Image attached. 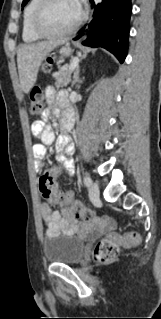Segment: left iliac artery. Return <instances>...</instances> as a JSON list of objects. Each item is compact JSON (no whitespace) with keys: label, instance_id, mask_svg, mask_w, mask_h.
Instances as JSON below:
<instances>
[{"label":"left iliac artery","instance_id":"1","mask_svg":"<svg viewBox=\"0 0 161 319\" xmlns=\"http://www.w3.org/2000/svg\"><path fill=\"white\" fill-rule=\"evenodd\" d=\"M83 181H84V184H85L86 186H90L91 183H92L91 178H90L89 176H87V175L84 176Z\"/></svg>","mask_w":161,"mask_h":319}]
</instances>
